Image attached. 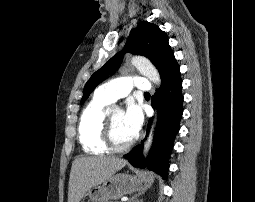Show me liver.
<instances>
[{
	"label": "liver",
	"instance_id": "liver-1",
	"mask_svg": "<svg viewBox=\"0 0 255 202\" xmlns=\"http://www.w3.org/2000/svg\"><path fill=\"white\" fill-rule=\"evenodd\" d=\"M127 161L117 157H80L73 161L68 187V202H80L86 192L109 179Z\"/></svg>",
	"mask_w": 255,
	"mask_h": 202
}]
</instances>
